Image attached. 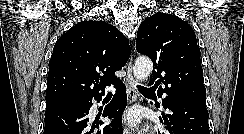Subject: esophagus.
I'll return each mask as SVG.
<instances>
[{
    "label": "esophagus",
    "instance_id": "obj_1",
    "mask_svg": "<svg viewBox=\"0 0 244 134\" xmlns=\"http://www.w3.org/2000/svg\"><path fill=\"white\" fill-rule=\"evenodd\" d=\"M132 61L133 56L131 55L127 64L126 87L130 103H135L138 100L139 94L136 89V80L132 73ZM124 134H136V132L132 128L127 127Z\"/></svg>",
    "mask_w": 244,
    "mask_h": 134
}]
</instances>
